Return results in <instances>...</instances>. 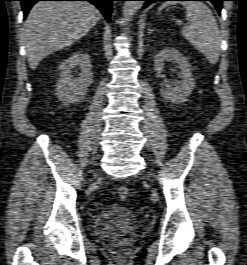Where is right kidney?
<instances>
[{
	"mask_svg": "<svg viewBox=\"0 0 247 265\" xmlns=\"http://www.w3.org/2000/svg\"><path fill=\"white\" fill-rule=\"evenodd\" d=\"M80 69V77L73 78L72 70ZM60 79L56 85L57 97L66 105L82 101L93 80L92 65L88 54L76 53L59 65Z\"/></svg>",
	"mask_w": 247,
	"mask_h": 265,
	"instance_id": "right-kidney-1",
	"label": "right kidney"
}]
</instances>
